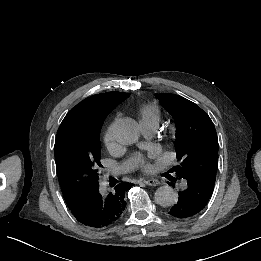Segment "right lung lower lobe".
Listing matches in <instances>:
<instances>
[{"label": "right lung lower lobe", "mask_w": 261, "mask_h": 261, "mask_svg": "<svg viewBox=\"0 0 261 261\" xmlns=\"http://www.w3.org/2000/svg\"><path fill=\"white\" fill-rule=\"evenodd\" d=\"M132 185L122 182L111 192L105 193L97 183L66 203L80 223L90 227H104L114 223L121 216L126 206L125 193Z\"/></svg>", "instance_id": "right-lung-lower-lobe-1"}]
</instances>
